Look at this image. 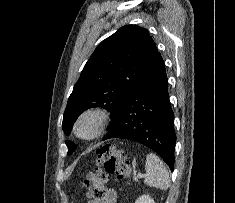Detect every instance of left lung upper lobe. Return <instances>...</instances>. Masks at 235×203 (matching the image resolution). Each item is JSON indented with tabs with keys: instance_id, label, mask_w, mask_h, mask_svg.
Instances as JSON below:
<instances>
[{
	"instance_id": "obj_1",
	"label": "left lung upper lobe",
	"mask_w": 235,
	"mask_h": 203,
	"mask_svg": "<svg viewBox=\"0 0 235 203\" xmlns=\"http://www.w3.org/2000/svg\"><path fill=\"white\" fill-rule=\"evenodd\" d=\"M148 31L126 25L102 41L87 63L68 99L62 129L69 135L78 116L88 108L102 107L118 117L131 92L157 54ZM68 154L76 145L66 141Z\"/></svg>"
}]
</instances>
